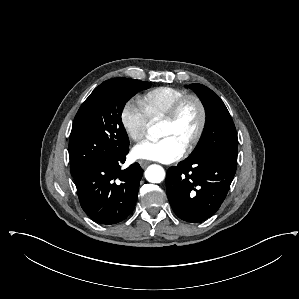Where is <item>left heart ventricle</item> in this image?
<instances>
[{
  "instance_id": "obj_1",
  "label": "left heart ventricle",
  "mask_w": 299,
  "mask_h": 299,
  "mask_svg": "<svg viewBox=\"0 0 299 299\" xmlns=\"http://www.w3.org/2000/svg\"><path fill=\"white\" fill-rule=\"evenodd\" d=\"M200 112L197 104L188 102L178 120L174 123L162 122L160 137H170L177 141L184 148L193 138L198 128Z\"/></svg>"
}]
</instances>
